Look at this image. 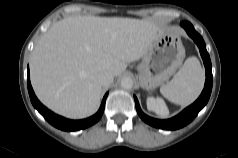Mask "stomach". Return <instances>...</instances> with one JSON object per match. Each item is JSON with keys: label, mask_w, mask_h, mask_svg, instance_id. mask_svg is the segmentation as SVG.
Instances as JSON below:
<instances>
[{"label": "stomach", "mask_w": 238, "mask_h": 158, "mask_svg": "<svg viewBox=\"0 0 238 158\" xmlns=\"http://www.w3.org/2000/svg\"><path fill=\"white\" fill-rule=\"evenodd\" d=\"M184 57L185 49L179 35L170 29L162 30L137 66L140 85L147 90L162 85L179 68Z\"/></svg>", "instance_id": "1"}]
</instances>
